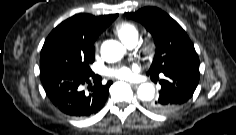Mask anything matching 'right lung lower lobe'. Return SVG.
Instances as JSON below:
<instances>
[{
	"label": "right lung lower lobe",
	"instance_id": "1",
	"mask_svg": "<svg viewBox=\"0 0 236 135\" xmlns=\"http://www.w3.org/2000/svg\"><path fill=\"white\" fill-rule=\"evenodd\" d=\"M41 81L51 102L62 113L76 118L96 114L104 106L112 84L108 81L102 85L101 77L93 72L66 70L41 71ZM87 84L89 92L83 89Z\"/></svg>",
	"mask_w": 236,
	"mask_h": 135
}]
</instances>
